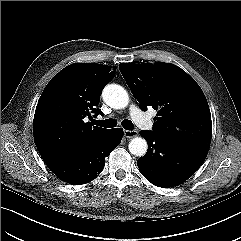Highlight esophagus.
Listing matches in <instances>:
<instances>
[{"label":"esophagus","mask_w":241,"mask_h":241,"mask_svg":"<svg viewBox=\"0 0 241 241\" xmlns=\"http://www.w3.org/2000/svg\"><path fill=\"white\" fill-rule=\"evenodd\" d=\"M137 135H138L137 130H124V136L126 138H133V137H136Z\"/></svg>","instance_id":"obj_1"}]
</instances>
